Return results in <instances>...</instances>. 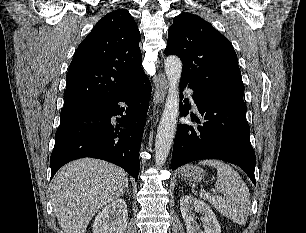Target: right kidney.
<instances>
[{"mask_svg": "<svg viewBox=\"0 0 306 233\" xmlns=\"http://www.w3.org/2000/svg\"><path fill=\"white\" fill-rule=\"evenodd\" d=\"M128 213L124 199H116L105 206L96 216L93 233H124L127 228Z\"/></svg>", "mask_w": 306, "mask_h": 233, "instance_id": "1", "label": "right kidney"}]
</instances>
